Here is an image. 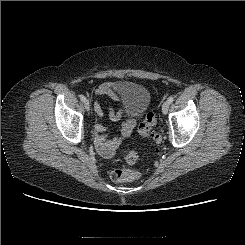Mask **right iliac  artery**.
I'll use <instances>...</instances> for the list:
<instances>
[{"instance_id": "right-iliac-artery-1", "label": "right iliac artery", "mask_w": 245, "mask_h": 245, "mask_svg": "<svg viewBox=\"0 0 245 245\" xmlns=\"http://www.w3.org/2000/svg\"><path fill=\"white\" fill-rule=\"evenodd\" d=\"M80 100L85 102L86 101V97L84 95H80Z\"/></svg>"}]
</instances>
